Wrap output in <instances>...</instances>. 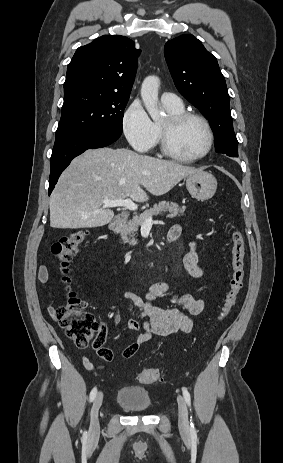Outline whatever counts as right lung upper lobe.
I'll use <instances>...</instances> for the list:
<instances>
[{"label":"right lung upper lobe","instance_id":"right-lung-upper-lobe-1","mask_svg":"<svg viewBox=\"0 0 283 463\" xmlns=\"http://www.w3.org/2000/svg\"><path fill=\"white\" fill-rule=\"evenodd\" d=\"M140 50L120 35H104L81 46L67 67L64 99L78 92L129 98Z\"/></svg>","mask_w":283,"mask_h":463}]
</instances>
